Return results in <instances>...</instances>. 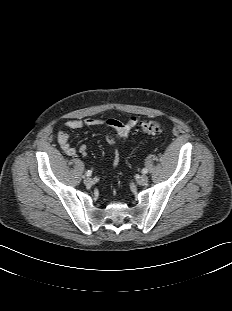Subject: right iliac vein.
I'll use <instances>...</instances> for the list:
<instances>
[{"mask_svg":"<svg viewBox=\"0 0 232 311\" xmlns=\"http://www.w3.org/2000/svg\"><path fill=\"white\" fill-rule=\"evenodd\" d=\"M84 183L86 186H91L93 184V179L90 178V177H87L85 180H84Z\"/></svg>","mask_w":232,"mask_h":311,"instance_id":"1","label":"right iliac vein"}]
</instances>
